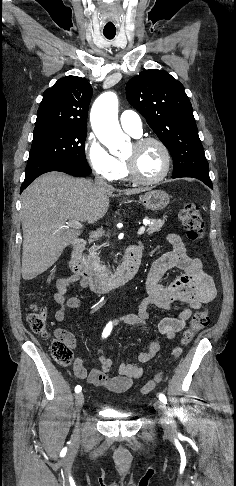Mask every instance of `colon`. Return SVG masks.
Returning a JSON list of instances; mask_svg holds the SVG:
<instances>
[{"label":"colon","instance_id":"obj_1","mask_svg":"<svg viewBox=\"0 0 236 486\" xmlns=\"http://www.w3.org/2000/svg\"><path fill=\"white\" fill-rule=\"evenodd\" d=\"M180 221L184 226L187 237L190 240H199L203 236L204 221L200 212V208L195 203H185L179 214ZM209 312L207 310H201L196 312L190 322V327L185 330L180 339V345L175 348L173 357L177 358L182 347L188 345L195 334L201 329L205 328L209 324ZM28 323L31 330L41 336L48 334L46 324L45 311L38 306H32L31 312L28 315ZM52 356L54 360L62 365L68 366L73 359V352L70 345L61 337L56 336L51 345ZM162 374H158L153 380L149 381L141 388V394L146 395L153 391L161 380Z\"/></svg>","mask_w":236,"mask_h":486}]
</instances>
